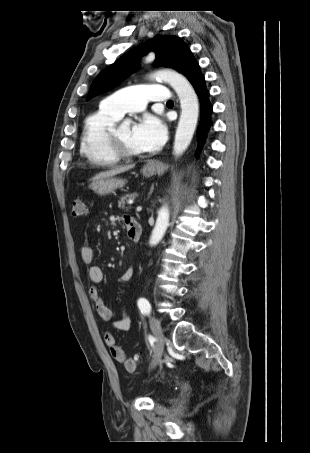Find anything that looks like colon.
<instances>
[{
	"mask_svg": "<svg viewBox=\"0 0 310 453\" xmlns=\"http://www.w3.org/2000/svg\"><path fill=\"white\" fill-rule=\"evenodd\" d=\"M87 207L86 203L82 199H76L72 204V215L74 217H82L86 214ZM139 364L138 356L131 357L125 361V368L127 371L132 372L136 370Z\"/></svg>",
	"mask_w": 310,
	"mask_h": 453,
	"instance_id": "colon-1",
	"label": "colon"
}]
</instances>
